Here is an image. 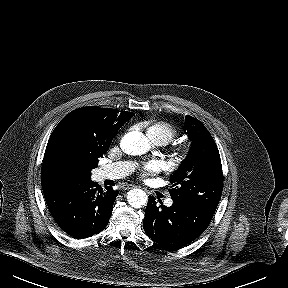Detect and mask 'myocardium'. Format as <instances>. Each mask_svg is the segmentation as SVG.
<instances>
[{
	"mask_svg": "<svg viewBox=\"0 0 288 288\" xmlns=\"http://www.w3.org/2000/svg\"><path fill=\"white\" fill-rule=\"evenodd\" d=\"M189 146L187 144H181L178 146L177 150L181 153H185L188 150Z\"/></svg>",
	"mask_w": 288,
	"mask_h": 288,
	"instance_id": "1",
	"label": "myocardium"
}]
</instances>
